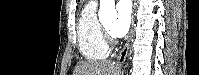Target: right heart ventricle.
Listing matches in <instances>:
<instances>
[{"label":"right heart ventricle","mask_w":199,"mask_h":75,"mask_svg":"<svg viewBox=\"0 0 199 75\" xmlns=\"http://www.w3.org/2000/svg\"><path fill=\"white\" fill-rule=\"evenodd\" d=\"M95 9V6L88 5L83 10L77 27L79 50L86 59L93 61L103 60L109 55V46Z\"/></svg>","instance_id":"1"}]
</instances>
